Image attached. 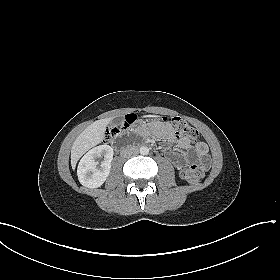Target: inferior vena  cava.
Wrapping results in <instances>:
<instances>
[{"label": "inferior vena cava", "mask_w": 280, "mask_h": 280, "mask_svg": "<svg viewBox=\"0 0 280 280\" xmlns=\"http://www.w3.org/2000/svg\"><path fill=\"white\" fill-rule=\"evenodd\" d=\"M138 149L135 147H126L121 151V156L124 158H129L133 155H137L138 154Z\"/></svg>", "instance_id": "1"}]
</instances>
